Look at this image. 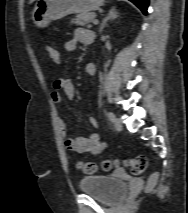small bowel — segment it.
Here are the masks:
<instances>
[{
    "instance_id": "1",
    "label": "small bowel",
    "mask_w": 188,
    "mask_h": 213,
    "mask_svg": "<svg viewBox=\"0 0 188 213\" xmlns=\"http://www.w3.org/2000/svg\"><path fill=\"white\" fill-rule=\"evenodd\" d=\"M95 41V34L92 30L87 28H77L75 30L73 38L65 43V50L67 52H73L77 49L79 44L89 45ZM60 55L58 59L54 60L59 62ZM86 72L93 76L97 72L96 65L94 63H89L86 66ZM53 90L50 93V99L54 104H60L62 101L61 92L68 99H73L75 97V87L69 79H57L53 82ZM88 122L91 127L96 128L98 122L95 118L89 117ZM59 128L63 136L64 146L68 151L75 152L77 154H91L99 155L106 148V144L100 139L98 133H91L87 136L70 137L68 135V129L65 122L62 119L58 120Z\"/></svg>"
}]
</instances>
